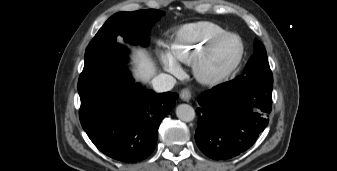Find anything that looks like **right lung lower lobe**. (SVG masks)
Instances as JSON below:
<instances>
[{
    "instance_id": "obj_1",
    "label": "right lung lower lobe",
    "mask_w": 337,
    "mask_h": 171,
    "mask_svg": "<svg viewBox=\"0 0 337 171\" xmlns=\"http://www.w3.org/2000/svg\"><path fill=\"white\" fill-rule=\"evenodd\" d=\"M126 49L109 44L85 56L79 77L80 122L105 155L127 163L154 150L162 119L175 106L177 93L145 90L126 71Z\"/></svg>"
}]
</instances>
